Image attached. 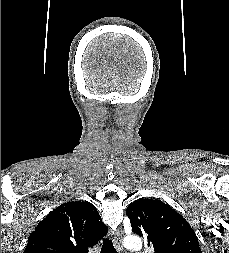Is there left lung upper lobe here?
<instances>
[{"label": "left lung upper lobe", "mask_w": 229, "mask_h": 253, "mask_svg": "<svg viewBox=\"0 0 229 253\" xmlns=\"http://www.w3.org/2000/svg\"><path fill=\"white\" fill-rule=\"evenodd\" d=\"M126 215L133 232L143 237L154 253H202L189 223L161 200H136Z\"/></svg>", "instance_id": "5c2ea615"}]
</instances>
